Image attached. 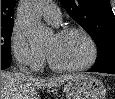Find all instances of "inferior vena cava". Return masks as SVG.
I'll return each instance as SVG.
<instances>
[{
  "label": "inferior vena cava",
  "mask_w": 115,
  "mask_h": 99,
  "mask_svg": "<svg viewBox=\"0 0 115 99\" xmlns=\"http://www.w3.org/2000/svg\"><path fill=\"white\" fill-rule=\"evenodd\" d=\"M20 76L22 77H32V74L28 72L27 70L23 69L22 67L20 68Z\"/></svg>",
  "instance_id": "602c4592"
}]
</instances>
